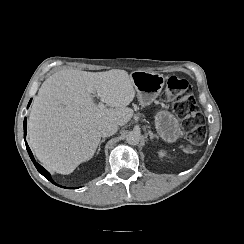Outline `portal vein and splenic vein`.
<instances>
[{
	"mask_svg": "<svg viewBox=\"0 0 244 244\" xmlns=\"http://www.w3.org/2000/svg\"><path fill=\"white\" fill-rule=\"evenodd\" d=\"M88 91L93 93V89L92 88H88ZM98 105H99V107H104L105 106L102 102H100Z\"/></svg>",
	"mask_w": 244,
	"mask_h": 244,
	"instance_id": "18ae733b",
	"label": "portal vein and splenic vein"
}]
</instances>
